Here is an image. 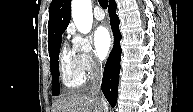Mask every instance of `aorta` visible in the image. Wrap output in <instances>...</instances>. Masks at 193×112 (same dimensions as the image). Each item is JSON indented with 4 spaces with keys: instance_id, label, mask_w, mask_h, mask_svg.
<instances>
[{
    "instance_id": "762f6f07",
    "label": "aorta",
    "mask_w": 193,
    "mask_h": 112,
    "mask_svg": "<svg viewBox=\"0 0 193 112\" xmlns=\"http://www.w3.org/2000/svg\"><path fill=\"white\" fill-rule=\"evenodd\" d=\"M71 12L78 31L83 34L89 33L93 24L91 0H73Z\"/></svg>"
}]
</instances>
